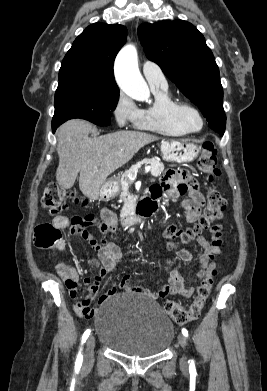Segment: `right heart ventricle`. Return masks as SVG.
<instances>
[{
  "label": "right heart ventricle",
  "mask_w": 267,
  "mask_h": 391,
  "mask_svg": "<svg viewBox=\"0 0 267 391\" xmlns=\"http://www.w3.org/2000/svg\"><path fill=\"white\" fill-rule=\"evenodd\" d=\"M154 101L139 109V118L135 126L141 130L156 132L167 136H183L188 131L174 115L176 100L168 87H151Z\"/></svg>",
  "instance_id": "e07e8e85"
}]
</instances>
